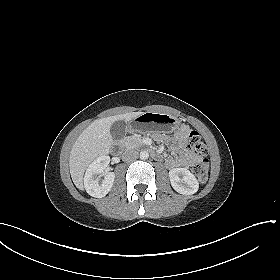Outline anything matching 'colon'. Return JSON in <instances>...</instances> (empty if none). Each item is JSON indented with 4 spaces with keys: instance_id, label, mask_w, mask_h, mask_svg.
<instances>
[{
    "instance_id": "1",
    "label": "colon",
    "mask_w": 280,
    "mask_h": 280,
    "mask_svg": "<svg viewBox=\"0 0 280 280\" xmlns=\"http://www.w3.org/2000/svg\"><path fill=\"white\" fill-rule=\"evenodd\" d=\"M187 147L192 152L205 153L206 145L201 137V135L195 131H189L186 139ZM209 172V162L207 159H203L193 167V173L197 180L201 183L205 182L208 178Z\"/></svg>"
}]
</instances>
